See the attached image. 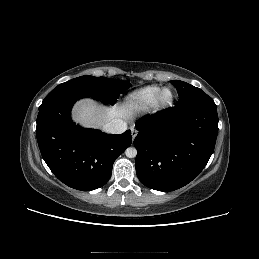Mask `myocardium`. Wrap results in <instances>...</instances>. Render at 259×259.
I'll return each mask as SVG.
<instances>
[{
	"instance_id": "1",
	"label": "myocardium",
	"mask_w": 259,
	"mask_h": 259,
	"mask_svg": "<svg viewBox=\"0 0 259 259\" xmlns=\"http://www.w3.org/2000/svg\"><path fill=\"white\" fill-rule=\"evenodd\" d=\"M165 92H169L170 94L169 98L166 100L163 99V94ZM173 102H174V93L172 89L169 87H163V88H160V90L156 94L152 106L154 110L161 111L169 108L173 104Z\"/></svg>"
}]
</instances>
